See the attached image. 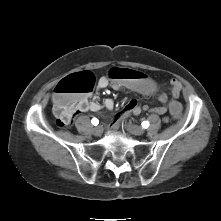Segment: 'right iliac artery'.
<instances>
[{"label": "right iliac artery", "instance_id": "right-iliac-artery-1", "mask_svg": "<svg viewBox=\"0 0 221 221\" xmlns=\"http://www.w3.org/2000/svg\"><path fill=\"white\" fill-rule=\"evenodd\" d=\"M91 123H92L94 126H97L98 123H99V120H98L97 118H93V119L91 120Z\"/></svg>", "mask_w": 221, "mask_h": 221}]
</instances>
